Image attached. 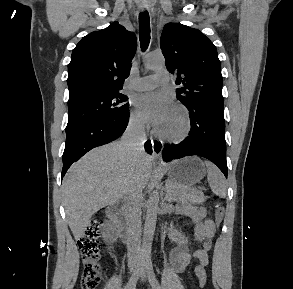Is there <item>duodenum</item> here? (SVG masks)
Masks as SVG:
<instances>
[{
  "instance_id": "obj_1",
  "label": "duodenum",
  "mask_w": 293,
  "mask_h": 289,
  "mask_svg": "<svg viewBox=\"0 0 293 289\" xmlns=\"http://www.w3.org/2000/svg\"><path fill=\"white\" fill-rule=\"evenodd\" d=\"M107 212L117 225L120 239L126 244L131 243L135 235V226L132 220L125 215L124 204L112 205Z\"/></svg>"
}]
</instances>
